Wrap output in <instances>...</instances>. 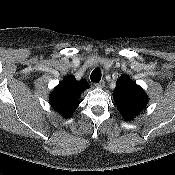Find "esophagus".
I'll return each instance as SVG.
<instances>
[{
  "label": "esophagus",
  "instance_id": "1",
  "mask_svg": "<svg viewBox=\"0 0 175 175\" xmlns=\"http://www.w3.org/2000/svg\"><path fill=\"white\" fill-rule=\"evenodd\" d=\"M95 86H96L97 88H103V87L105 86V82L102 80V81L96 83Z\"/></svg>",
  "mask_w": 175,
  "mask_h": 175
}]
</instances>
